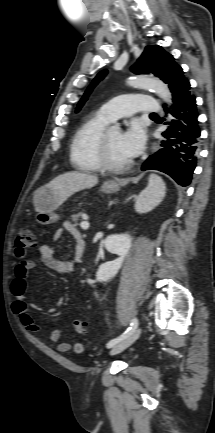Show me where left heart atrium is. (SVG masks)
<instances>
[{
    "mask_svg": "<svg viewBox=\"0 0 215 433\" xmlns=\"http://www.w3.org/2000/svg\"><path fill=\"white\" fill-rule=\"evenodd\" d=\"M145 144V132L138 122L132 123L126 131L121 133V146L124 153L133 158L143 149Z\"/></svg>",
    "mask_w": 215,
    "mask_h": 433,
    "instance_id": "1",
    "label": "left heart atrium"
}]
</instances>
